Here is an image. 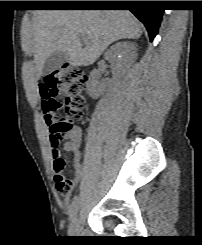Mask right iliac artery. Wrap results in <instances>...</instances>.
Returning a JSON list of instances; mask_svg holds the SVG:
<instances>
[{"mask_svg": "<svg viewBox=\"0 0 202 245\" xmlns=\"http://www.w3.org/2000/svg\"><path fill=\"white\" fill-rule=\"evenodd\" d=\"M79 202H80L79 196H75L73 198V201H72L71 207H70L71 208L70 219H72L75 216V214L78 210Z\"/></svg>", "mask_w": 202, "mask_h": 245, "instance_id": "82829eb1", "label": "right iliac artery"}]
</instances>
